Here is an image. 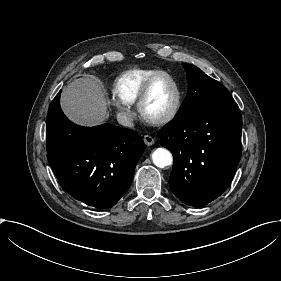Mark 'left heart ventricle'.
Masks as SVG:
<instances>
[{
	"label": "left heart ventricle",
	"mask_w": 281,
	"mask_h": 281,
	"mask_svg": "<svg viewBox=\"0 0 281 281\" xmlns=\"http://www.w3.org/2000/svg\"><path fill=\"white\" fill-rule=\"evenodd\" d=\"M174 98V90L167 79L159 81L145 104V111L152 117H163L171 109Z\"/></svg>",
	"instance_id": "left-heart-ventricle-1"
}]
</instances>
